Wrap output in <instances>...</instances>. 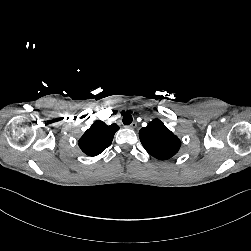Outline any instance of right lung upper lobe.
Segmentation results:
<instances>
[{
  "mask_svg": "<svg viewBox=\"0 0 251 251\" xmlns=\"http://www.w3.org/2000/svg\"><path fill=\"white\" fill-rule=\"evenodd\" d=\"M118 125H106L97 120L79 139L80 149L88 156H96L102 153L112 143Z\"/></svg>",
  "mask_w": 251,
  "mask_h": 251,
  "instance_id": "cb5924a9",
  "label": "right lung upper lobe"
}]
</instances>
